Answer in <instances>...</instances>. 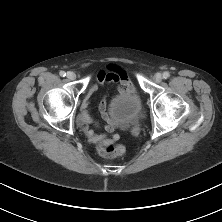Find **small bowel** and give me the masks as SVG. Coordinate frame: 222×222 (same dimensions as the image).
<instances>
[{
	"label": "small bowel",
	"mask_w": 222,
	"mask_h": 222,
	"mask_svg": "<svg viewBox=\"0 0 222 222\" xmlns=\"http://www.w3.org/2000/svg\"><path fill=\"white\" fill-rule=\"evenodd\" d=\"M96 78L99 84L104 83H116L119 87V95L124 96L129 93L135 92V87L130 81L127 73L122 69L111 67L108 71L99 70L96 72ZM97 89V86H94L91 92H94ZM100 112L102 114L103 119L105 120V124L103 125L104 130L111 134V136L107 137L105 135H98L93 130L89 129L90 125L100 126L99 122L96 121L91 113H90V104L89 97H87L82 104V117L81 121L85 126L90 142L92 143H110L118 140V135L114 132L117 129V124L113 119L110 118L108 113V103L107 99L103 98L99 105Z\"/></svg>",
	"instance_id": "obj_1"
}]
</instances>
